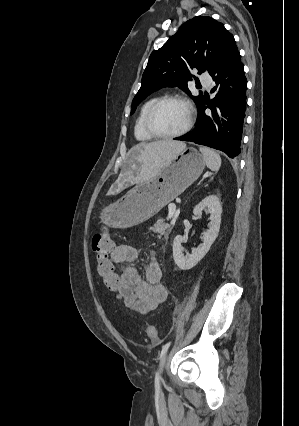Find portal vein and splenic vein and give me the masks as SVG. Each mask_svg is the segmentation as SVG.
<instances>
[{
  "mask_svg": "<svg viewBox=\"0 0 299 426\" xmlns=\"http://www.w3.org/2000/svg\"><path fill=\"white\" fill-rule=\"evenodd\" d=\"M168 209H169V212H168L167 219H171L176 212V205L174 203H171L168 205Z\"/></svg>",
  "mask_w": 299,
  "mask_h": 426,
  "instance_id": "portal-vein-and-splenic-vein-1",
  "label": "portal vein and splenic vein"
}]
</instances>
